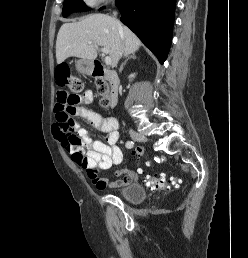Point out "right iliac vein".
<instances>
[{
  "instance_id": "right-iliac-vein-1",
  "label": "right iliac vein",
  "mask_w": 248,
  "mask_h": 258,
  "mask_svg": "<svg viewBox=\"0 0 248 258\" xmlns=\"http://www.w3.org/2000/svg\"><path fill=\"white\" fill-rule=\"evenodd\" d=\"M131 137H132V139H134L135 141H138V142H147L148 141V138L145 135H143L141 133H137V132H132Z\"/></svg>"
}]
</instances>
